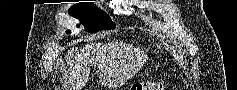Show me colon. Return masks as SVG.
<instances>
[{
  "mask_svg": "<svg viewBox=\"0 0 237 90\" xmlns=\"http://www.w3.org/2000/svg\"><path fill=\"white\" fill-rule=\"evenodd\" d=\"M162 84L159 82H137L129 90H161Z\"/></svg>",
  "mask_w": 237,
  "mask_h": 90,
  "instance_id": "1",
  "label": "colon"
}]
</instances>
